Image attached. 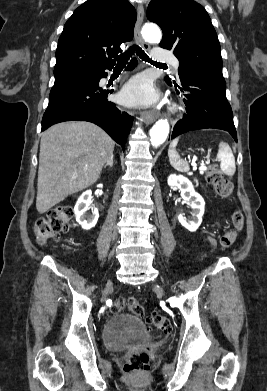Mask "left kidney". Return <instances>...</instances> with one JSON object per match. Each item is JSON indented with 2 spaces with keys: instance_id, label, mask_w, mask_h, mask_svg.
<instances>
[{
  "instance_id": "1",
  "label": "left kidney",
  "mask_w": 267,
  "mask_h": 391,
  "mask_svg": "<svg viewBox=\"0 0 267 391\" xmlns=\"http://www.w3.org/2000/svg\"><path fill=\"white\" fill-rule=\"evenodd\" d=\"M168 185L177 187L181 191L182 198L187 201L193 209L192 220L187 219L183 214H180L178 216L179 222L190 232L196 231L200 226L204 215V199L195 192L191 181L182 175H170L168 177Z\"/></svg>"
}]
</instances>
